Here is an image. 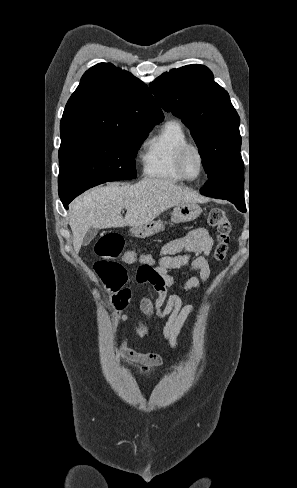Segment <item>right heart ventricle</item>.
Masks as SVG:
<instances>
[{
    "instance_id": "obj_1",
    "label": "right heart ventricle",
    "mask_w": 297,
    "mask_h": 488,
    "mask_svg": "<svg viewBox=\"0 0 297 488\" xmlns=\"http://www.w3.org/2000/svg\"><path fill=\"white\" fill-rule=\"evenodd\" d=\"M188 143L189 138L181 123L166 121L144 143L140 157L144 175L162 181H183L176 168V157L181 147Z\"/></svg>"
}]
</instances>
